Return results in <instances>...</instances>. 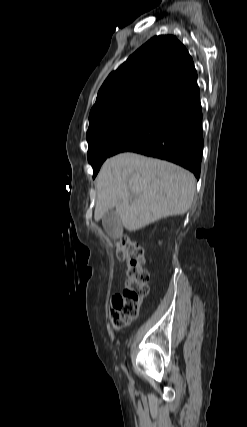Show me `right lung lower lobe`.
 <instances>
[{
    "label": "right lung lower lobe",
    "instance_id": "98d812e1",
    "mask_svg": "<svg viewBox=\"0 0 247 427\" xmlns=\"http://www.w3.org/2000/svg\"><path fill=\"white\" fill-rule=\"evenodd\" d=\"M203 143L200 92L195 83L161 103L112 155L130 151L164 159L199 179Z\"/></svg>",
    "mask_w": 247,
    "mask_h": 427
}]
</instances>
